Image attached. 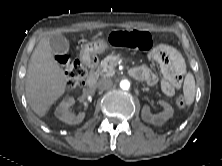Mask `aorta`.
Masks as SVG:
<instances>
[{"label":"aorta","instance_id":"obj_1","mask_svg":"<svg viewBox=\"0 0 222 166\" xmlns=\"http://www.w3.org/2000/svg\"><path fill=\"white\" fill-rule=\"evenodd\" d=\"M120 87L123 90H128L130 88V82L128 80H122L120 82Z\"/></svg>","mask_w":222,"mask_h":166}]
</instances>
